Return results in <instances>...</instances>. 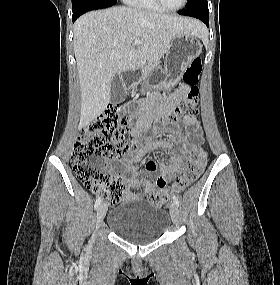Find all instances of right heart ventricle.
Segmentation results:
<instances>
[{"label": "right heart ventricle", "instance_id": "right-heart-ventricle-1", "mask_svg": "<svg viewBox=\"0 0 280 285\" xmlns=\"http://www.w3.org/2000/svg\"><path fill=\"white\" fill-rule=\"evenodd\" d=\"M131 6L153 12H162L163 10L158 6L155 0H126Z\"/></svg>", "mask_w": 280, "mask_h": 285}]
</instances>
